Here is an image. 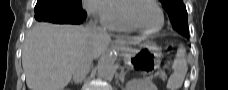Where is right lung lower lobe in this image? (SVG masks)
<instances>
[{
    "label": "right lung lower lobe",
    "mask_w": 228,
    "mask_h": 90,
    "mask_svg": "<svg viewBox=\"0 0 228 90\" xmlns=\"http://www.w3.org/2000/svg\"><path fill=\"white\" fill-rule=\"evenodd\" d=\"M34 11L37 21L57 24H81L87 16L83 9L69 13L64 7L58 6L56 0H43L39 6H35Z\"/></svg>",
    "instance_id": "obj_1"
}]
</instances>
